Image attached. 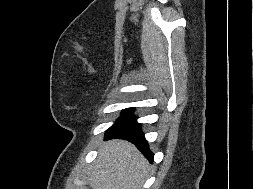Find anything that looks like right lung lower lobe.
Segmentation results:
<instances>
[{"label":"right lung lower lobe","instance_id":"obj_1","mask_svg":"<svg viewBox=\"0 0 253 189\" xmlns=\"http://www.w3.org/2000/svg\"><path fill=\"white\" fill-rule=\"evenodd\" d=\"M131 111V109L123 111L122 117L106 131V139L120 138L131 141L150 162H153V153L149 150L144 134L140 131V124L129 114Z\"/></svg>","mask_w":253,"mask_h":189}]
</instances>
